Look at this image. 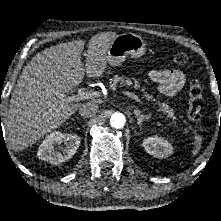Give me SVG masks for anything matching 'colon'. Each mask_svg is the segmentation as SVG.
Returning a JSON list of instances; mask_svg holds the SVG:
<instances>
[{
	"mask_svg": "<svg viewBox=\"0 0 221 221\" xmlns=\"http://www.w3.org/2000/svg\"><path fill=\"white\" fill-rule=\"evenodd\" d=\"M173 62L178 66H183L187 63L188 57L183 52H177L172 57ZM204 106L203 92L198 80L192 79L189 82V118L194 123H201L202 109Z\"/></svg>",
	"mask_w": 221,
	"mask_h": 221,
	"instance_id": "5ec220e1",
	"label": "colon"
}]
</instances>
